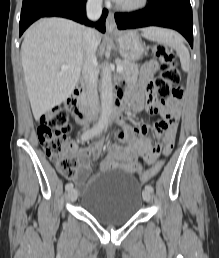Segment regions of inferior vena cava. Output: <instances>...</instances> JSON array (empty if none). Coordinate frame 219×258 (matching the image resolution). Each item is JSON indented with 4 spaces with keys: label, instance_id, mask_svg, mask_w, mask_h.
I'll return each instance as SVG.
<instances>
[{
    "label": "inferior vena cava",
    "instance_id": "inferior-vena-cava-1",
    "mask_svg": "<svg viewBox=\"0 0 219 258\" xmlns=\"http://www.w3.org/2000/svg\"><path fill=\"white\" fill-rule=\"evenodd\" d=\"M87 17L96 21L102 13V0H88L86 4ZM96 30L94 28H85L83 33V42L85 46L86 59L83 65L82 74L86 84L87 103L90 107H95L98 103L97 92V71L95 68V51L97 48Z\"/></svg>",
    "mask_w": 219,
    "mask_h": 258
}]
</instances>
